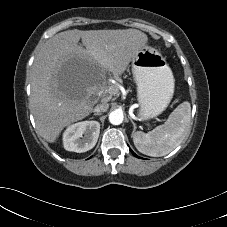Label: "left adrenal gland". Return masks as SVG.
<instances>
[{"instance_id": "obj_1", "label": "left adrenal gland", "mask_w": 227, "mask_h": 227, "mask_svg": "<svg viewBox=\"0 0 227 227\" xmlns=\"http://www.w3.org/2000/svg\"><path fill=\"white\" fill-rule=\"evenodd\" d=\"M130 121H131V123L133 124L134 129H135V128H136V125H135L134 121H133L132 119H130Z\"/></svg>"}]
</instances>
